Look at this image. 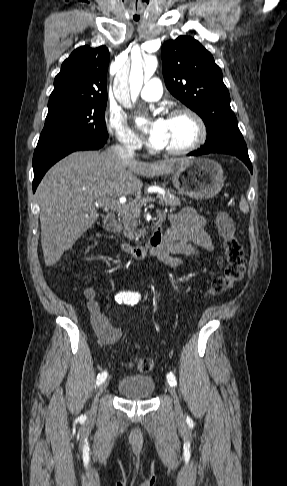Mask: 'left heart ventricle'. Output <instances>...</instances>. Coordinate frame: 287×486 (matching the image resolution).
Wrapping results in <instances>:
<instances>
[{
  "instance_id": "left-heart-ventricle-1",
  "label": "left heart ventricle",
  "mask_w": 287,
  "mask_h": 486,
  "mask_svg": "<svg viewBox=\"0 0 287 486\" xmlns=\"http://www.w3.org/2000/svg\"><path fill=\"white\" fill-rule=\"evenodd\" d=\"M196 136L193 121L180 116L166 120V131L162 149L179 148L190 144Z\"/></svg>"
}]
</instances>
